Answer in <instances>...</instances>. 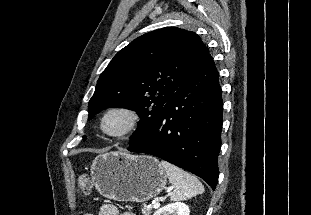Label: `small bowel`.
I'll use <instances>...</instances> for the list:
<instances>
[{
    "mask_svg": "<svg viewBox=\"0 0 311 215\" xmlns=\"http://www.w3.org/2000/svg\"><path fill=\"white\" fill-rule=\"evenodd\" d=\"M84 215H93L91 213H86ZM98 215H135L132 212H124L120 213L118 208L113 204H103L100 209Z\"/></svg>",
    "mask_w": 311,
    "mask_h": 215,
    "instance_id": "c3829d8e",
    "label": "small bowel"
}]
</instances>
